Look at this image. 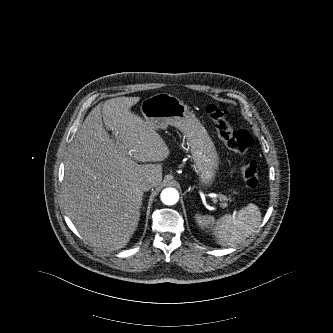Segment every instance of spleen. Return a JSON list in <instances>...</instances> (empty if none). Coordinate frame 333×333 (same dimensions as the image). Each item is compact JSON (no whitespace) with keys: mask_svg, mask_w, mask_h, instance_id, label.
Here are the masks:
<instances>
[{"mask_svg":"<svg viewBox=\"0 0 333 333\" xmlns=\"http://www.w3.org/2000/svg\"><path fill=\"white\" fill-rule=\"evenodd\" d=\"M195 221L201 229H209L221 246H233L242 242L261 221V212L257 205L249 203L237 212L226 214L220 219L212 215L195 214Z\"/></svg>","mask_w":333,"mask_h":333,"instance_id":"1","label":"spleen"}]
</instances>
